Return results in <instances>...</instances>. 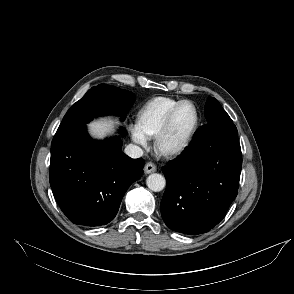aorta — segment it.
<instances>
[{"instance_id":"1","label":"aorta","mask_w":294,"mask_h":294,"mask_svg":"<svg viewBox=\"0 0 294 294\" xmlns=\"http://www.w3.org/2000/svg\"><path fill=\"white\" fill-rule=\"evenodd\" d=\"M148 188L154 192L162 191L166 185L164 176L158 173L150 174L146 179Z\"/></svg>"}]
</instances>
